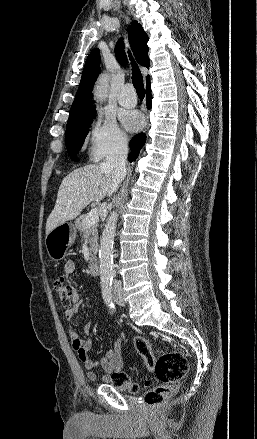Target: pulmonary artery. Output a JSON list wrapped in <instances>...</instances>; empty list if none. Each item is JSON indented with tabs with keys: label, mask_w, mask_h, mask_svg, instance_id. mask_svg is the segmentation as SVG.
Returning a JSON list of instances; mask_svg holds the SVG:
<instances>
[{
	"label": "pulmonary artery",
	"mask_w": 257,
	"mask_h": 439,
	"mask_svg": "<svg viewBox=\"0 0 257 439\" xmlns=\"http://www.w3.org/2000/svg\"><path fill=\"white\" fill-rule=\"evenodd\" d=\"M118 102L124 107H134L137 103V97L134 93L133 87L130 84L125 85L118 97Z\"/></svg>",
	"instance_id": "1"
}]
</instances>
